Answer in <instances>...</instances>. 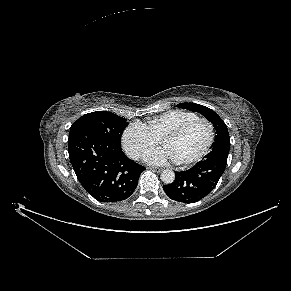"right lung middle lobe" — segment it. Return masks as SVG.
Returning <instances> with one entry per match:
<instances>
[{
  "label": "right lung middle lobe",
  "instance_id": "1",
  "mask_svg": "<svg viewBox=\"0 0 291 291\" xmlns=\"http://www.w3.org/2000/svg\"><path fill=\"white\" fill-rule=\"evenodd\" d=\"M128 125L125 118L106 111H96L80 117L70 127L69 135L84 131L101 136L120 146L121 135Z\"/></svg>",
  "mask_w": 291,
  "mask_h": 291
}]
</instances>
